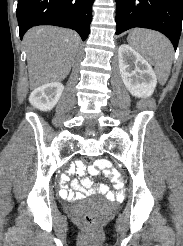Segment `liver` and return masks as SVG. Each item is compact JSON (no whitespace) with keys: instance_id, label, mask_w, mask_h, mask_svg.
<instances>
[{"instance_id":"1","label":"liver","mask_w":183,"mask_h":246,"mask_svg":"<svg viewBox=\"0 0 183 246\" xmlns=\"http://www.w3.org/2000/svg\"><path fill=\"white\" fill-rule=\"evenodd\" d=\"M31 89L65 79L78 51L80 37L72 30L34 27L24 36Z\"/></svg>"}]
</instances>
